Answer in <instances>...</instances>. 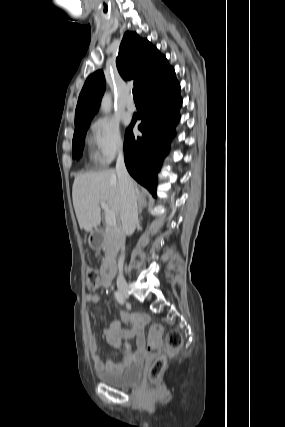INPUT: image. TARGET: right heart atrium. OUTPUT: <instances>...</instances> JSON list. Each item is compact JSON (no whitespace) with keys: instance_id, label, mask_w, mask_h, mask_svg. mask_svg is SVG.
Segmentation results:
<instances>
[{"instance_id":"right-heart-atrium-1","label":"right heart atrium","mask_w":285,"mask_h":427,"mask_svg":"<svg viewBox=\"0 0 285 427\" xmlns=\"http://www.w3.org/2000/svg\"><path fill=\"white\" fill-rule=\"evenodd\" d=\"M89 142L95 160L101 164L110 163L125 148L119 123L109 117L98 118L92 122Z\"/></svg>"}]
</instances>
